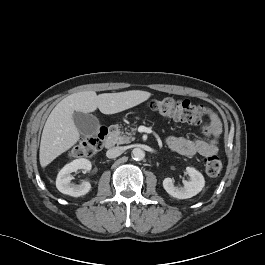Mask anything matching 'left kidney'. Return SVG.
<instances>
[{
    "label": "left kidney",
    "mask_w": 265,
    "mask_h": 265,
    "mask_svg": "<svg viewBox=\"0 0 265 265\" xmlns=\"http://www.w3.org/2000/svg\"><path fill=\"white\" fill-rule=\"evenodd\" d=\"M189 181H184L183 187H177L174 185V181L171 178H165L163 180V187L166 192L177 199H187L197 195L205 186V180L203 175L193 167L186 168Z\"/></svg>",
    "instance_id": "obj_1"
}]
</instances>
